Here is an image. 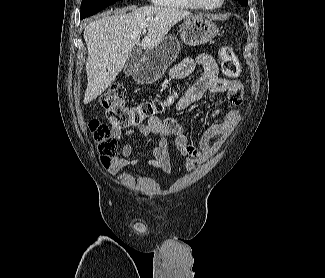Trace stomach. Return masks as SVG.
Returning a JSON list of instances; mask_svg holds the SVG:
<instances>
[{"instance_id": "stomach-1", "label": "stomach", "mask_w": 325, "mask_h": 278, "mask_svg": "<svg viewBox=\"0 0 325 278\" xmlns=\"http://www.w3.org/2000/svg\"><path fill=\"white\" fill-rule=\"evenodd\" d=\"M180 28V37L189 46L205 44L218 33L216 24L211 19L201 15L186 18ZM179 50L180 44L175 37H164L160 43L146 50L144 59L134 71L135 80L141 84L156 82L176 59Z\"/></svg>"}]
</instances>
